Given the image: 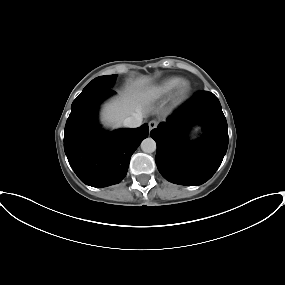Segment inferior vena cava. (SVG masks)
<instances>
[{
  "instance_id": "obj_1",
  "label": "inferior vena cava",
  "mask_w": 285,
  "mask_h": 285,
  "mask_svg": "<svg viewBox=\"0 0 285 285\" xmlns=\"http://www.w3.org/2000/svg\"><path fill=\"white\" fill-rule=\"evenodd\" d=\"M143 117L141 114H134L133 116L127 117L123 121V125L128 128H137L141 126Z\"/></svg>"
}]
</instances>
